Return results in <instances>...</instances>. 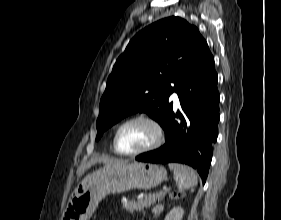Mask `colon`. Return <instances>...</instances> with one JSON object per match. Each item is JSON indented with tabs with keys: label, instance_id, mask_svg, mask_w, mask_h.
Masks as SVG:
<instances>
[{
	"label": "colon",
	"instance_id": "5ec220e1",
	"mask_svg": "<svg viewBox=\"0 0 281 220\" xmlns=\"http://www.w3.org/2000/svg\"><path fill=\"white\" fill-rule=\"evenodd\" d=\"M176 196H180V194H176Z\"/></svg>",
	"mask_w": 281,
	"mask_h": 220
}]
</instances>
